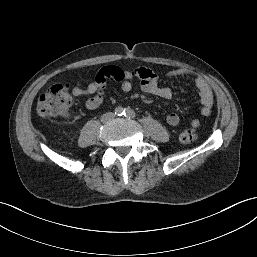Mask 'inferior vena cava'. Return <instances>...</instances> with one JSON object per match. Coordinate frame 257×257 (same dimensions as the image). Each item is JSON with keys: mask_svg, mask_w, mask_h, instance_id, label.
<instances>
[{"mask_svg": "<svg viewBox=\"0 0 257 257\" xmlns=\"http://www.w3.org/2000/svg\"><path fill=\"white\" fill-rule=\"evenodd\" d=\"M114 117H115V114H114V113H112V112H107V113H105V114H103V115L101 116V121H102V122H108V121L114 119Z\"/></svg>", "mask_w": 257, "mask_h": 257, "instance_id": "obj_1", "label": "inferior vena cava"}]
</instances>
